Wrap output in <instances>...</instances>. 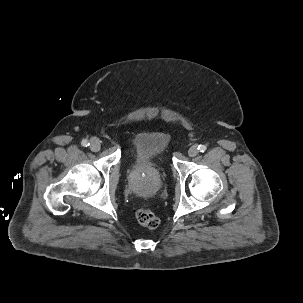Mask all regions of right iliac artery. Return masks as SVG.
I'll return each instance as SVG.
<instances>
[{"instance_id":"1","label":"right iliac artery","mask_w":303,"mask_h":303,"mask_svg":"<svg viewBox=\"0 0 303 303\" xmlns=\"http://www.w3.org/2000/svg\"><path fill=\"white\" fill-rule=\"evenodd\" d=\"M81 144H82V146H84V147L89 146V142H88L86 139L82 140Z\"/></svg>"}]
</instances>
